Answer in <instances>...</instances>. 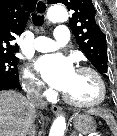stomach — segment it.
<instances>
[{
	"label": "stomach",
	"mask_w": 117,
	"mask_h": 136,
	"mask_svg": "<svg viewBox=\"0 0 117 136\" xmlns=\"http://www.w3.org/2000/svg\"><path fill=\"white\" fill-rule=\"evenodd\" d=\"M74 128L82 134H90L96 130V123L94 119L87 114L74 115Z\"/></svg>",
	"instance_id": "0dacf381"
}]
</instances>
